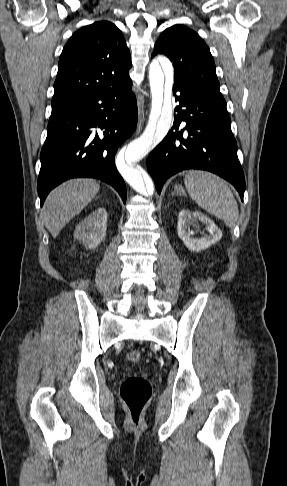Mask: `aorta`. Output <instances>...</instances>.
<instances>
[{"mask_svg":"<svg viewBox=\"0 0 287 486\" xmlns=\"http://www.w3.org/2000/svg\"><path fill=\"white\" fill-rule=\"evenodd\" d=\"M173 66L166 57L155 59L149 67V81L152 95L151 112L148 124L141 136L132 141L126 151L127 163L118 162V170L124 180L140 194L154 192L151 181L145 182L133 160L145 154L152 146L161 142L167 135L173 120L172 86ZM165 81V89H164Z\"/></svg>","mask_w":287,"mask_h":486,"instance_id":"aorta-1","label":"aorta"}]
</instances>
